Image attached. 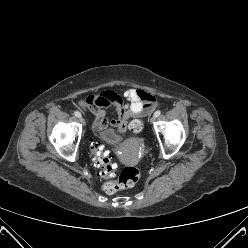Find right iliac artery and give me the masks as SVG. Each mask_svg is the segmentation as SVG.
<instances>
[{"label": "right iliac artery", "mask_w": 248, "mask_h": 248, "mask_svg": "<svg viewBox=\"0 0 248 248\" xmlns=\"http://www.w3.org/2000/svg\"><path fill=\"white\" fill-rule=\"evenodd\" d=\"M74 114L76 117H81V113L79 111H75Z\"/></svg>", "instance_id": "obj_1"}]
</instances>
